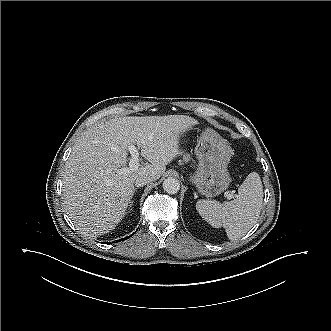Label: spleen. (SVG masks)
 <instances>
[{"label":"spleen","instance_id":"3e777b00","mask_svg":"<svg viewBox=\"0 0 331 331\" xmlns=\"http://www.w3.org/2000/svg\"><path fill=\"white\" fill-rule=\"evenodd\" d=\"M262 182L257 173H250L238 189L232 201L219 203L215 200H199L198 213L215 228L224 227L227 236L236 240L253 226L262 202Z\"/></svg>","mask_w":331,"mask_h":331}]
</instances>
